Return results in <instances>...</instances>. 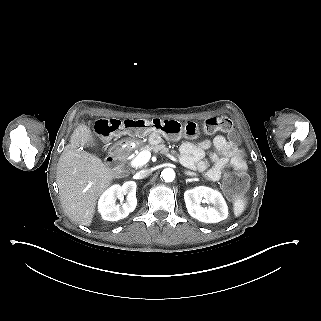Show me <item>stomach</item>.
Wrapping results in <instances>:
<instances>
[{"mask_svg": "<svg viewBox=\"0 0 321 321\" xmlns=\"http://www.w3.org/2000/svg\"><path fill=\"white\" fill-rule=\"evenodd\" d=\"M132 140H136V139H132ZM129 143V140L128 139H124V140H120V141H118L117 143H115V145H114V147H119V146H121L122 144H124V143Z\"/></svg>", "mask_w": 321, "mask_h": 321, "instance_id": "0dacf381", "label": "stomach"}]
</instances>
